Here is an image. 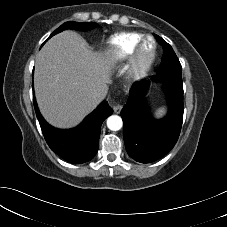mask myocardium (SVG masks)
<instances>
[{"instance_id": "1", "label": "myocardium", "mask_w": 227, "mask_h": 227, "mask_svg": "<svg viewBox=\"0 0 227 227\" xmlns=\"http://www.w3.org/2000/svg\"><path fill=\"white\" fill-rule=\"evenodd\" d=\"M147 45L150 46L145 53ZM157 56V44L152 36L143 37L137 44L130 61L129 73L133 78L145 76L152 68Z\"/></svg>"}]
</instances>
